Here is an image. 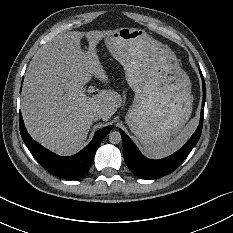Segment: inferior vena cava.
<instances>
[{
	"label": "inferior vena cava",
	"mask_w": 233,
	"mask_h": 233,
	"mask_svg": "<svg viewBox=\"0 0 233 233\" xmlns=\"http://www.w3.org/2000/svg\"><path fill=\"white\" fill-rule=\"evenodd\" d=\"M89 118L92 121H97V120H100L102 118V115L99 112H95V113H92Z\"/></svg>",
	"instance_id": "1"
}]
</instances>
